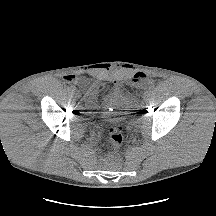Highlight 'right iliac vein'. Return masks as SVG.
<instances>
[{
  "instance_id": "obj_1",
  "label": "right iliac vein",
  "mask_w": 216,
  "mask_h": 216,
  "mask_svg": "<svg viewBox=\"0 0 216 216\" xmlns=\"http://www.w3.org/2000/svg\"><path fill=\"white\" fill-rule=\"evenodd\" d=\"M72 95L78 96V95H79L78 90H75V91L72 93Z\"/></svg>"
}]
</instances>
